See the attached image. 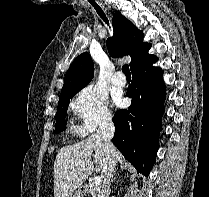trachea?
Listing matches in <instances>:
<instances>
[{
  "label": "trachea",
  "mask_w": 209,
  "mask_h": 197,
  "mask_svg": "<svg viewBox=\"0 0 209 197\" xmlns=\"http://www.w3.org/2000/svg\"><path fill=\"white\" fill-rule=\"evenodd\" d=\"M90 3L94 7V9L98 13V15L104 20L105 23L108 24V19H107L106 15L104 14L103 10L101 9V7H99V5L96 4L94 1H90ZM122 72L126 76L131 77V73H130V69H129V66L128 65H123L122 66Z\"/></svg>",
  "instance_id": "1"
}]
</instances>
